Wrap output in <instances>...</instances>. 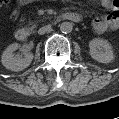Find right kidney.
<instances>
[{"mask_svg": "<svg viewBox=\"0 0 119 119\" xmlns=\"http://www.w3.org/2000/svg\"><path fill=\"white\" fill-rule=\"evenodd\" d=\"M19 48L18 43H13L9 45L2 54V64L6 69L12 71H22L27 68L32 60L33 54L30 52H25L24 57L16 55L13 52Z\"/></svg>", "mask_w": 119, "mask_h": 119, "instance_id": "obj_1", "label": "right kidney"}]
</instances>
